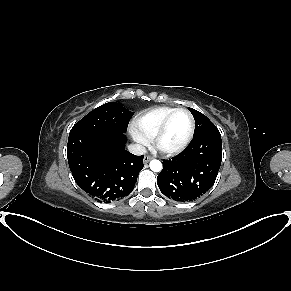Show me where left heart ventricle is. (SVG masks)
<instances>
[{
  "mask_svg": "<svg viewBox=\"0 0 291 291\" xmlns=\"http://www.w3.org/2000/svg\"><path fill=\"white\" fill-rule=\"evenodd\" d=\"M190 129V118L187 113L179 112L171 119L167 131L162 139V145L173 148L180 145Z\"/></svg>",
  "mask_w": 291,
  "mask_h": 291,
  "instance_id": "b2bd125f",
  "label": "left heart ventricle"
}]
</instances>
